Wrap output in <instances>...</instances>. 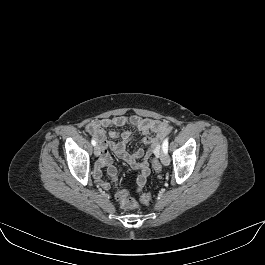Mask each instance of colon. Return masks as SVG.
Returning a JSON list of instances; mask_svg holds the SVG:
<instances>
[{
	"mask_svg": "<svg viewBox=\"0 0 265 265\" xmlns=\"http://www.w3.org/2000/svg\"><path fill=\"white\" fill-rule=\"evenodd\" d=\"M152 167L156 172L161 171V164L158 160V155H154V158L152 160ZM116 198L119 201L121 207L124 209H134L138 206V203L124 190L117 191ZM151 200L152 196L149 193H144L140 196V201L145 205L150 204Z\"/></svg>",
	"mask_w": 265,
	"mask_h": 265,
	"instance_id": "1",
	"label": "colon"
}]
</instances>
